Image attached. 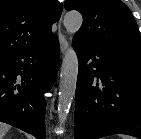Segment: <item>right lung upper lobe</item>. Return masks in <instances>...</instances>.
I'll return each mask as SVG.
<instances>
[{"instance_id": "right-lung-upper-lobe-1", "label": "right lung upper lobe", "mask_w": 141, "mask_h": 139, "mask_svg": "<svg viewBox=\"0 0 141 139\" xmlns=\"http://www.w3.org/2000/svg\"><path fill=\"white\" fill-rule=\"evenodd\" d=\"M61 12L57 0H0V57L49 40Z\"/></svg>"}]
</instances>
